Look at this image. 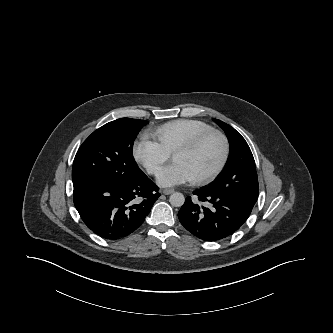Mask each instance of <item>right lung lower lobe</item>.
<instances>
[{
	"instance_id": "98d812e1",
	"label": "right lung lower lobe",
	"mask_w": 333,
	"mask_h": 333,
	"mask_svg": "<svg viewBox=\"0 0 333 333\" xmlns=\"http://www.w3.org/2000/svg\"><path fill=\"white\" fill-rule=\"evenodd\" d=\"M160 196L142 171L129 183L95 181L74 186V205L86 226L98 236L119 240L134 232Z\"/></svg>"
}]
</instances>
